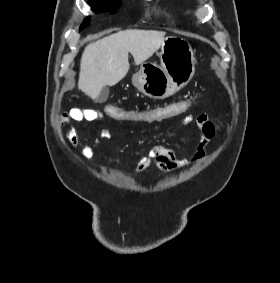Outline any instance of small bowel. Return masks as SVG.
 Here are the masks:
<instances>
[{
	"instance_id": "obj_1",
	"label": "small bowel",
	"mask_w": 280,
	"mask_h": 283,
	"mask_svg": "<svg viewBox=\"0 0 280 283\" xmlns=\"http://www.w3.org/2000/svg\"><path fill=\"white\" fill-rule=\"evenodd\" d=\"M185 113L186 112H183V114ZM103 117L104 111L98 109H85L66 115V117L63 118V122L68 129L70 145L73 148H77L79 145L77 123L83 121L98 122L101 121ZM182 122L185 125L196 124L199 129L200 141L196 153L191 158L187 159L178 157L174 151L168 148L162 146L153 147L138 161L135 170L136 174L143 173L152 165L158 167L164 174H170L204 159L206 148L219 131L220 125L215 123L207 114H200L196 118L187 115L183 118ZM99 137L101 139H108L110 137V130L108 128H102L99 131ZM81 155L86 161H92L94 158V150L90 145H84L81 149Z\"/></svg>"
}]
</instances>
